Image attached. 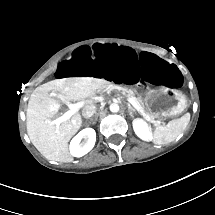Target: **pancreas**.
<instances>
[{
    "instance_id": "obj_1",
    "label": "pancreas",
    "mask_w": 215,
    "mask_h": 215,
    "mask_svg": "<svg viewBox=\"0 0 215 215\" xmlns=\"http://www.w3.org/2000/svg\"><path fill=\"white\" fill-rule=\"evenodd\" d=\"M112 91L118 92V93L122 94L124 97H135L137 107L136 108L132 107V108H134L135 110L136 109L139 110L140 113L143 115V117L147 120L155 119L154 115H151L149 112H147L143 101L140 98L136 97L134 92L128 88L107 84L105 87L97 90V93L100 97H103L105 95V93H110Z\"/></svg>"
}]
</instances>
